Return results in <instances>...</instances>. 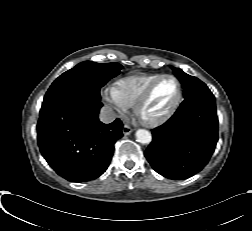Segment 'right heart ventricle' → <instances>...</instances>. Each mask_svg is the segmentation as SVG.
<instances>
[{
  "mask_svg": "<svg viewBox=\"0 0 252 231\" xmlns=\"http://www.w3.org/2000/svg\"><path fill=\"white\" fill-rule=\"evenodd\" d=\"M160 74H139L123 77L114 86L118 98L127 106L132 107L146 90V88Z\"/></svg>",
  "mask_w": 252,
  "mask_h": 231,
  "instance_id": "obj_1",
  "label": "right heart ventricle"
}]
</instances>
